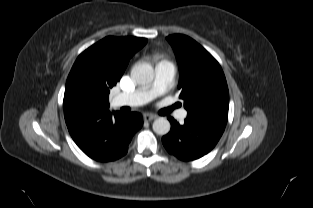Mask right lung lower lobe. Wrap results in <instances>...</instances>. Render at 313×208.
Segmentation results:
<instances>
[{"label":"right lung lower lobe","instance_id":"right-lung-lower-lobe-1","mask_svg":"<svg viewBox=\"0 0 313 208\" xmlns=\"http://www.w3.org/2000/svg\"><path fill=\"white\" fill-rule=\"evenodd\" d=\"M69 133L77 146L90 158L109 162L127 153L132 136L142 127L139 113L122 114L109 107L64 110Z\"/></svg>","mask_w":313,"mask_h":208}]
</instances>
